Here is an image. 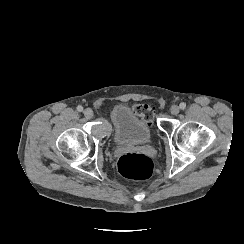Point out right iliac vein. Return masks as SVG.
<instances>
[{
    "mask_svg": "<svg viewBox=\"0 0 244 244\" xmlns=\"http://www.w3.org/2000/svg\"><path fill=\"white\" fill-rule=\"evenodd\" d=\"M83 113H84V116L88 119L92 118L93 114H94L92 109H90V108L85 109Z\"/></svg>",
    "mask_w": 244,
    "mask_h": 244,
    "instance_id": "right-iliac-vein-1",
    "label": "right iliac vein"
}]
</instances>
